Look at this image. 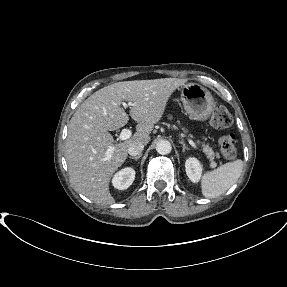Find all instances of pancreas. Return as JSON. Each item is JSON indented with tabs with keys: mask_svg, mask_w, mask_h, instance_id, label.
Returning <instances> with one entry per match:
<instances>
[{
	"mask_svg": "<svg viewBox=\"0 0 287 287\" xmlns=\"http://www.w3.org/2000/svg\"><path fill=\"white\" fill-rule=\"evenodd\" d=\"M171 118V116L169 117ZM203 147V152L207 155V157L210 159V161L213 163L214 157L217 155H215L213 149L209 146V145H202ZM218 156V155H217Z\"/></svg>",
	"mask_w": 287,
	"mask_h": 287,
	"instance_id": "cf45deb5",
	"label": "pancreas"
}]
</instances>
